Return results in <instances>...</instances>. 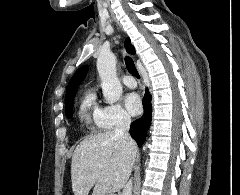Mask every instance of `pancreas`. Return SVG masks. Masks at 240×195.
<instances>
[{"label": "pancreas", "instance_id": "obj_1", "mask_svg": "<svg viewBox=\"0 0 240 195\" xmlns=\"http://www.w3.org/2000/svg\"><path fill=\"white\" fill-rule=\"evenodd\" d=\"M95 193H96V195H102V193H100L99 189H95Z\"/></svg>", "mask_w": 240, "mask_h": 195}]
</instances>
